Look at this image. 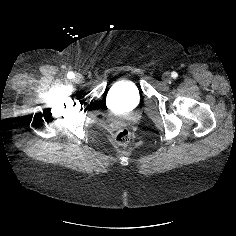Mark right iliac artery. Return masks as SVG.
Returning <instances> with one entry per match:
<instances>
[{
	"mask_svg": "<svg viewBox=\"0 0 236 236\" xmlns=\"http://www.w3.org/2000/svg\"><path fill=\"white\" fill-rule=\"evenodd\" d=\"M74 77V73L73 72H69L68 73V78H73Z\"/></svg>",
	"mask_w": 236,
	"mask_h": 236,
	"instance_id": "82829eb1",
	"label": "right iliac artery"
}]
</instances>
